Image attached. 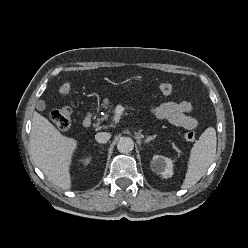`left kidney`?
I'll return each instance as SVG.
<instances>
[{
  "instance_id": "left-kidney-1",
  "label": "left kidney",
  "mask_w": 248,
  "mask_h": 248,
  "mask_svg": "<svg viewBox=\"0 0 248 248\" xmlns=\"http://www.w3.org/2000/svg\"><path fill=\"white\" fill-rule=\"evenodd\" d=\"M151 168L163 178H169L173 175V161L165 156L154 155L151 161Z\"/></svg>"
}]
</instances>
